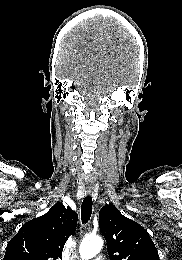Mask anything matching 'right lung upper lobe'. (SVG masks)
Returning a JSON list of instances; mask_svg holds the SVG:
<instances>
[{"instance_id": "1", "label": "right lung upper lobe", "mask_w": 182, "mask_h": 260, "mask_svg": "<svg viewBox=\"0 0 182 260\" xmlns=\"http://www.w3.org/2000/svg\"><path fill=\"white\" fill-rule=\"evenodd\" d=\"M78 215L62 203L46 214L26 222L7 244L3 260H59L74 234Z\"/></svg>"}]
</instances>
